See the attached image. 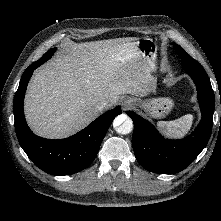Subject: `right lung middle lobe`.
<instances>
[{
    "label": "right lung middle lobe",
    "instance_id": "1",
    "mask_svg": "<svg viewBox=\"0 0 221 221\" xmlns=\"http://www.w3.org/2000/svg\"><path fill=\"white\" fill-rule=\"evenodd\" d=\"M55 50H56V48H53V49L49 50L48 52H46V53L42 56V58H41L40 61H43V62L47 61V60L53 55V53L55 52Z\"/></svg>",
    "mask_w": 221,
    "mask_h": 221
}]
</instances>
